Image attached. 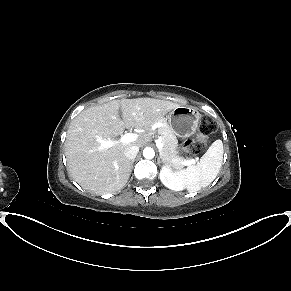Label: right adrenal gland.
<instances>
[{
    "instance_id": "right-adrenal-gland-1",
    "label": "right adrenal gland",
    "mask_w": 291,
    "mask_h": 291,
    "mask_svg": "<svg viewBox=\"0 0 291 291\" xmlns=\"http://www.w3.org/2000/svg\"><path fill=\"white\" fill-rule=\"evenodd\" d=\"M134 159L131 161V169L133 168Z\"/></svg>"
}]
</instances>
